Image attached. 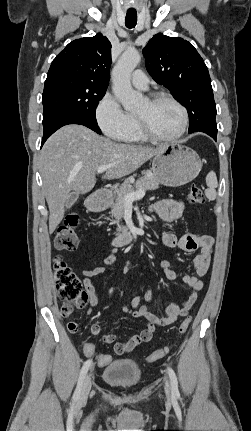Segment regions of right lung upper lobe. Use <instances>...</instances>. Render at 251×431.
<instances>
[{"mask_svg":"<svg viewBox=\"0 0 251 431\" xmlns=\"http://www.w3.org/2000/svg\"><path fill=\"white\" fill-rule=\"evenodd\" d=\"M111 43L98 33L70 42L53 60L48 74L63 73L108 86Z\"/></svg>","mask_w":251,"mask_h":431,"instance_id":"1","label":"right lung upper lobe"}]
</instances>
